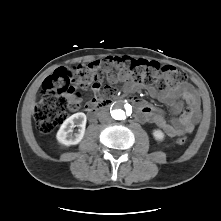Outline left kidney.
Instances as JSON below:
<instances>
[{"instance_id": "left-kidney-1", "label": "left kidney", "mask_w": 221, "mask_h": 221, "mask_svg": "<svg viewBox=\"0 0 221 221\" xmlns=\"http://www.w3.org/2000/svg\"><path fill=\"white\" fill-rule=\"evenodd\" d=\"M153 136L158 141H162L164 139V133L159 129L153 131Z\"/></svg>"}]
</instances>
